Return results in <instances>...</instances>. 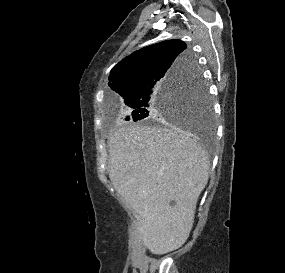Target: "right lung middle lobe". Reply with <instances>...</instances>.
Here are the masks:
<instances>
[{"label": "right lung middle lobe", "mask_w": 285, "mask_h": 273, "mask_svg": "<svg viewBox=\"0 0 285 273\" xmlns=\"http://www.w3.org/2000/svg\"><path fill=\"white\" fill-rule=\"evenodd\" d=\"M125 104L131 108L126 120L133 118L137 121L147 117L160 121L174 120L197 128L212 126L208 88L196 66Z\"/></svg>", "instance_id": "obj_1"}]
</instances>
